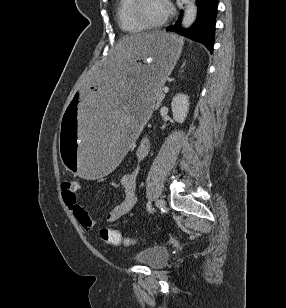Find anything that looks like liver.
<instances>
[{"label":"liver","instance_id":"6515ba94","mask_svg":"<svg viewBox=\"0 0 286 308\" xmlns=\"http://www.w3.org/2000/svg\"><path fill=\"white\" fill-rule=\"evenodd\" d=\"M146 35H149V34L135 35V36H146ZM135 36H132V37H135ZM120 50H121V41H120V42L116 45V47L114 48L113 54L118 53Z\"/></svg>","mask_w":286,"mask_h":308}]
</instances>
